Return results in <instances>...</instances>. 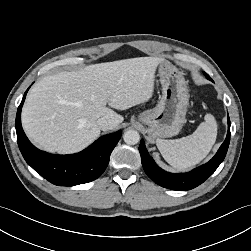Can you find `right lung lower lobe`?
Here are the masks:
<instances>
[{
    "instance_id": "98d812e1",
    "label": "right lung lower lobe",
    "mask_w": 251,
    "mask_h": 251,
    "mask_svg": "<svg viewBox=\"0 0 251 251\" xmlns=\"http://www.w3.org/2000/svg\"><path fill=\"white\" fill-rule=\"evenodd\" d=\"M27 91L18 107L15 123L18 146L26 162L38 174L58 186H74L97 179L105 171L121 131L102 136L76 154L54 155L41 151L28 140L21 126V109Z\"/></svg>"
}]
</instances>
